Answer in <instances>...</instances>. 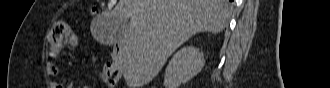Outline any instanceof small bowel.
Masks as SVG:
<instances>
[{"label": "small bowel", "instance_id": "small-bowel-1", "mask_svg": "<svg viewBox=\"0 0 330 88\" xmlns=\"http://www.w3.org/2000/svg\"><path fill=\"white\" fill-rule=\"evenodd\" d=\"M46 73L49 76H53V77H60L61 81L60 82H53L51 84L52 88H74V82L73 80L63 77L61 71L59 70V68L55 65L52 64H48L46 67Z\"/></svg>", "mask_w": 330, "mask_h": 88}]
</instances>
